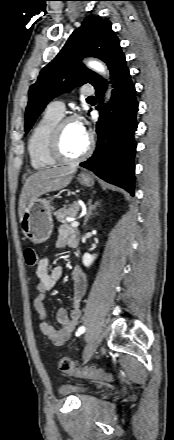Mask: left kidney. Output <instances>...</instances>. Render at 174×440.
<instances>
[{
    "instance_id": "5707ae66",
    "label": "left kidney",
    "mask_w": 174,
    "mask_h": 440,
    "mask_svg": "<svg viewBox=\"0 0 174 440\" xmlns=\"http://www.w3.org/2000/svg\"><path fill=\"white\" fill-rule=\"evenodd\" d=\"M96 255H91L89 253H85L82 258V262L85 267H90L94 262Z\"/></svg>"
}]
</instances>
